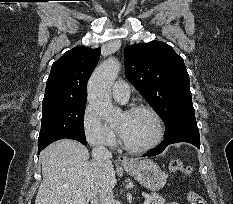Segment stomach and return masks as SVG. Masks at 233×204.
<instances>
[{"label":"stomach","mask_w":233,"mask_h":204,"mask_svg":"<svg viewBox=\"0 0 233 204\" xmlns=\"http://www.w3.org/2000/svg\"><path fill=\"white\" fill-rule=\"evenodd\" d=\"M127 173L132 175L141 185L151 191L162 189L166 183L167 175L151 160H141L124 166Z\"/></svg>","instance_id":"1"}]
</instances>
